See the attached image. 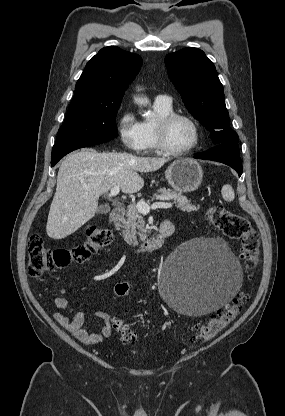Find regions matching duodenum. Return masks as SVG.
Here are the masks:
<instances>
[{"label":"duodenum","instance_id":"1","mask_svg":"<svg viewBox=\"0 0 285 416\" xmlns=\"http://www.w3.org/2000/svg\"><path fill=\"white\" fill-rule=\"evenodd\" d=\"M125 210L123 207L119 206L114 208L111 213L110 221L112 227L118 224V222L124 217ZM174 233L173 223L168 220H162L159 225V229L156 233L150 235L139 243L134 249L133 253L135 255H142L156 249H159L163 246L164 242L169 239Z\"/></svg>","mask_w":285,"mask_h":416}]
</instances>
